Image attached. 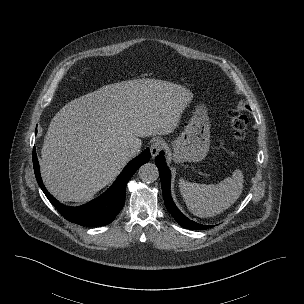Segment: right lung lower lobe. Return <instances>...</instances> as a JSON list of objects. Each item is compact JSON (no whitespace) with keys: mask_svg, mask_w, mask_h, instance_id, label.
Returning <instances> with one entry per match:
<instances>
[{"mask_svg":"<svg viewBox=\"0 0 304 304\" xmlns=\"http://www.w3.org/2000/svg\"><path fill=\"white\" fill-rule=\"evenodd\" d=\"M32 157L36 180L40 188L64 218L82 226H104L111 223L124 206L126 185L138 168L149 161L150 150L147 148L130 161L114 184L104 194L80 207L64 206L46 190L41 180L35 147L33 148Z\"/></svg>","mask_w":304,"mask_h":304,"instance_id":"obj_1","label":"right lung lower lobe"}]
</instances>
